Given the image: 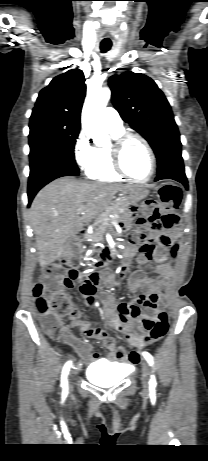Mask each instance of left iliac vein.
<instances>
[{
  "label": "left iliac vein",
  "instance_id": "1",
  "mask_svg": "<svg viewBox=\"0 0 208 461\" xmlns=\"http://www.w3.org/2000/svg\"><path fill=\"white\" fill-rule=\"evenodd\" d=\"M150 367L147 361L142 362V384L145 389L149 387Z\"/></svg>",
  "mask_w": 208,
  "mask_h": 461
}]
</instances>
